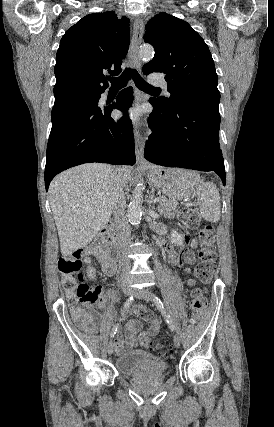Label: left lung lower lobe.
I'll return each instance as SVG.
<instances>
[{
  "instance_id": "obj_1",
  "label": "left lung lower lobe",
  "mask_w": 274,
  "mask_h": 427,
  "mask_svg": "<svg viewBox=\"0 0 274 427\" xmlns=\"http://www.w3.org/2000/svg\"><path fill=\"white\" fill-rule=\"evenodd\" d=\"M149 102L154 107L148 120L152 134L144 157L167 167L215 171L225 185L218 106L196 101L167 106L157 98Z\"/></svg>"
}]
</instances>
